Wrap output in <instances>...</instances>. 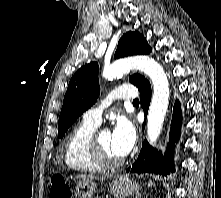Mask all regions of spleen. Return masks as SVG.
<instances>
[{
  "label": "spleen",
  "instance_id": "1",
  "mask_svg": "<svg viewBox=\"0 0 221 198\" xmlns=\"http://www.w3.org/2000/svg\"><path fill=\"white\" fill-rule=\"evenodd\" d=\"M148 186H149V187L152 186V183L150 182V183L148 184Z\"/></svg>",
  "mask_w": 221,
  "mask_h": 198
}]
</instances>
